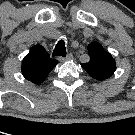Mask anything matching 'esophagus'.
Instances as JSON below:
<instances>
[{"mask_svg": "<svg viewBox=\"0 0 135 135\" xmlns=\"http://www.w3.org/2000/svg\"><path fill=\"white\" fill-rule=\"evenodd\" d=\"M73 58V55L71 54V53H69L67 56H65V57H60L59 58V60L61 61V62H64V61H69V60H71Z\"/></svg>", "mask_w": 135, "mask_h": 135, "instance_id": "34e87169", "label": "esophagus"}]
</instances>
